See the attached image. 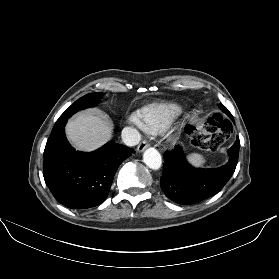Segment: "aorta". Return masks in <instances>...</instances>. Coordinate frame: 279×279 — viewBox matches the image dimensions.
<instances>
[{
  "label": "aorta",
  "mask_w": 279,
  "mask_h": 279,
  "mask_svg": "<svg viewBox=\"0 0 279 279\" xmlns=\"http://www.w3.org/2000/svg\"><path fill=\"white\" fill-rule=\"evenodd\" d=\"M144 163L153 170H158L162 165V158L160 153L155 148H148L143 154Z\"/></svg>",
  "instance_id": "762f6f07"
}]
</instances>
